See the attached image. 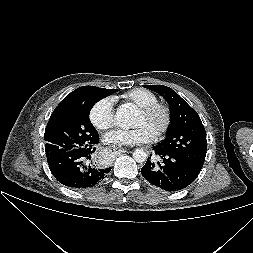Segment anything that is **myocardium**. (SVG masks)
<instances>
[{"label": "myocardium", "mask_w": 253, "mask_h": 253, "mask_svg": "<svg viewBox=\"0 0 253 253\" xmlns=\"http://www.w3.org/2000/svg\"><path fill=\"white\" fill-rule=\"evenodd\" d=\"M138 111L145 116H150L156 112H160L163 114V123L158 129V131L155 133V138H161L168 132L172 123V112L168 105L156 102L143 107H139Z\"/></svg>", "instance_id": "f54148a6"}]
</instances>
